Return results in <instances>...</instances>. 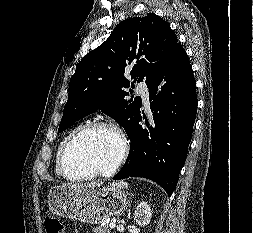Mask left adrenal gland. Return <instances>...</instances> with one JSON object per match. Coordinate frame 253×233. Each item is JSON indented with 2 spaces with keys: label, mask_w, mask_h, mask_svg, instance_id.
<instances>
[{
  "label": "left adrenal gland",
  "mask_w": 253,
  "mask_h": 233,
  "mask_svg": "<svg viewBox=\"0 0 253 233\" xmlns=\"http://www.w3.org/2000/svg\"><path fill=\"white\" fill-rule=\"evenodd\" d=\"M132 196H133V194L131 193V194H130V199L132 198Z\"/></svg>",
  "instance_id": "obj_1"
}]
</instances>
